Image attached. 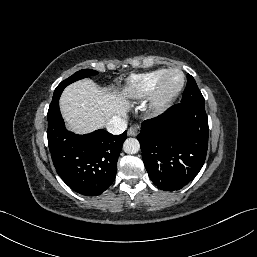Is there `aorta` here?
Wrapping results in <instances>:
<instances>
[{
  "label": "aorta",
  "instance_id": "obj_1",
  "mask_svg": "<svg viewBox=\"0 0 257 257\" xmlns=\"http://www.w3.org/2000/svg\"><path fill=\"white\" fill-rule=\"evenodd\" d=\"M123 150L127 154H136L140 150V143L135 138H128L123 144Z\"/></svg>",
  "mask_w": 257,
  "mask_h": 257
}]
</instances>
